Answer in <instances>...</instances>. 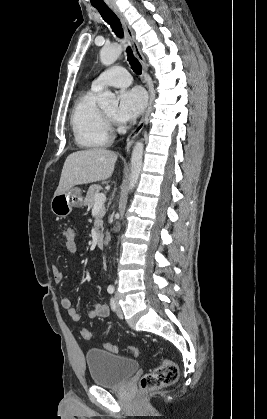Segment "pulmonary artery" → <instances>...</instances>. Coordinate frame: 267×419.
Masks as SVG:
<instances>
[{"label":"pulmonary artery","instance_id":"obj_1","mask_svg":"<svg viewBox=\"0 0 267 419\" xmlns=\"http://www.w3.org/2000/svg\"><path fill=\"white\" fill-rule=\"evenodd\" d=\"M131 82V75L124 67L114 66L102 72L94 79L92 88L100 91L108 86L125 87L130 85Z\"/></svg>","mask_w":267,"mask_h":419}]
</instances>
